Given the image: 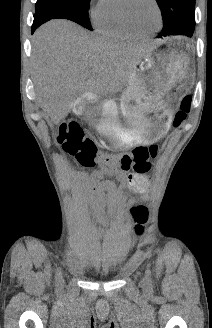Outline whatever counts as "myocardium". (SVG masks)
<instances>
[{"instance_id": "myocardium-1", "label": "myocardium", "mask_w": 212, "mask_h": 328, "mask_svg": "<svg viewBox=\"0 0 212 328\" xmlns=\"http://www.w3.org/2000/svg\"><path fill=\"white\" fill-rule=\"evenodd\" d=\"M133 2V0H122V4H121V14H122V18L125 22V24L127 25V27L132 30L133 32L139 34V35H143V34H150L151 32H157L163 25V13H162V9L160 7V4L158 3V0H151V2L153 3V5L155 6L158 16H159V25L156 29H154L151 32H145L141 29H139L134 22L132 21L131 15H130V4Z\"/></svg>"}]
</instances>
